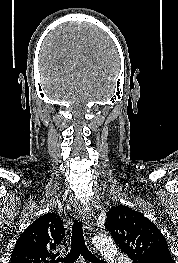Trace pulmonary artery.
I'll use <instances>...</instances> for the list:
<instances>
[{
    "mask_svg": "<svg viewBox=\"0 0 178 263\" xmlns=\"http://www.w3.org/2000/svg\"><path fill=\"white\" fill-rule=\"evenodd\" d=\"M118 263H131L128 258L118 257Z\"/></svg>",
    "mask_w": 178,
    "mask_h": 263,
    "instance_id": "pulmonary-artery-1",
    "label": "pulmonary artery"
}]
</instances>
